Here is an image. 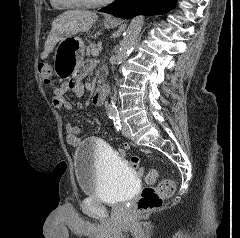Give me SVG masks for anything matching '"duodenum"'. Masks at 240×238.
<instances>
[{
  "instance_id": "410a0bca",
  "label": "duodenum",
  "mask_w": 240,
  "mask_h": 238,
  "mask_svg": "<svg viewBox=\"0 0 240 238\" xmlns=\"http://www.w3.org/2000/svg\"><path fill=\"white\" fill-rule=\"evenodd\" d=\"M109 87L106 83H102L95 91L93 96V103L95 105H102L108 95Z\"/></svg>"
}]
</instances>
